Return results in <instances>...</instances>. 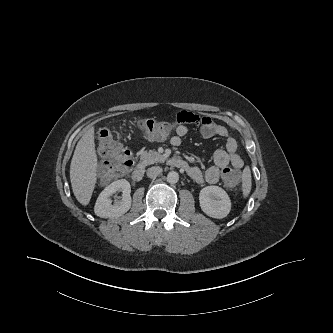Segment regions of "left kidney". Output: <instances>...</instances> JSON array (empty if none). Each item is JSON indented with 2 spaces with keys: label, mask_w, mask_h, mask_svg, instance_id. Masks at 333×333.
Wrapping results in <instances>:
<instances>
[{
  "label": "left kidney",
  "mask_w": 333,
  "mask_h": 333,
  "mask_svg": "<svg viewBox=\"0 0 333 333\" xmlns=\"http://www.w3.org/2000/svg\"><path fill=\"white\" fill-rule=\"evenodd\" d=\"M199 202L202 211L212 218L222 219L231 210V200L228 194L218 186H207L201 189Z\"/></svg>",
  "instance_id": "5707ae66"
}]
</instances>
